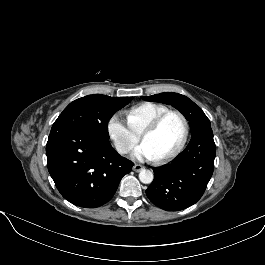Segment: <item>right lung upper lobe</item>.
Returning a JSON list of instances; mask_svg holds the SVG:
<instances>
[{
	"instance_id": "obj_1",
	"label": "right lung upper lobe",
	"mask_w": 265,
	"mask_h": 265,
	"mask_svg": "<svg viewBox=\"0 0 265 265\" xmlns=\"http://www.w3.org/2000/svg\"><path fill=\"white\" fill-rule=\"evenodd\" d=\"M103 96H105V95H103ZM105 97H107V98H112V99H122V98H117V97H109V96H105Z\"/></svg>"
}]
</instances>
